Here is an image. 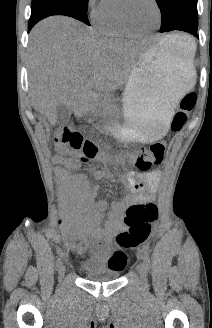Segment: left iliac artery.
Here are the masks:
<instances>
[{
  "instance_id": "44dca946",
  "label": "left iliac artery",
  "mask_w": 212,
  "mask_h": 328,
  "mask_svg": "<svg viewBox=\"0 0 212 328\" xmlns=\"http://www.w3.org/2000/svg\"><path fill=\"white\" fill-rule=\"evenodd\" d=\"M143 260H144V264L146 266L147 271H149L150 270V267H151V261H150L149 255L148 254H144Z\"/></svg>"
}]
</instances>
